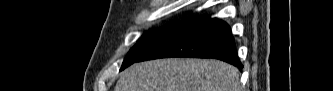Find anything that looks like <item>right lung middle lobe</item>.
<instances>
[{"instance_id": "1", "label": "right lung middle lobe", "mask_w": 333, "mask_h": 91, "mask_svg": "<svg viewBox=\"0 0 333 91\" xmlns=\"http://www.w3.org/2000/svg\"><path fill=\"white\" fill-rule=\"evenodd\" d=\"M188 22V21H186ZM186 22L182 21H173L168 25L149 31L145 33L138 43L131 48L127 57L125 58L121 70L130 66L150 50L158 46L160 43L169 38L173 33H175L178 29H180Z\"/></svg>"}]
</instances>
